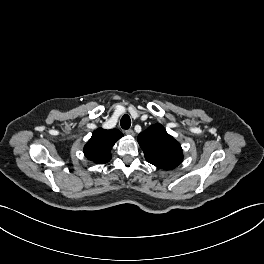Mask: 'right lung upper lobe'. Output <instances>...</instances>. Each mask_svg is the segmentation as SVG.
Here are the masks:
<instances>
[{"instance_id":"cb5924a9","label":"right lung upper lobe","mask_w":264,"mask_h":264,"mask_svg":"<svg viewBox=\"0 0 264 264\" xmlns=\"http://www.w3.org/2000/svg\"><path fill=\"white\" fill-rule=\"evenodd\" d=\"M123 134L117 129L104 130L97 129L92 133V137L84 146L85 156L94 163L102 164L111 160V149L115 142Z\"/></svg>"}]
</instances>
